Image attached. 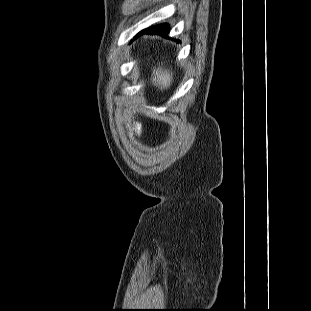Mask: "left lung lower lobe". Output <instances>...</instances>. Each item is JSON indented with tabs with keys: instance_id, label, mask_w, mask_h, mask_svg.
<instances>
[{
	"instance_id": "left-lung-lower-lobe-1",
	"label": "left lung lower lobe",
	"mask_w": 311,
	"mask_h": 311,
	"mask_svg": "<svg viewBox=\"0 0 311 311\" xmlns=\"http://www.w3.org/2000/svg\"><path fill=\"white\" fill-rule=\"evenodd\" d=\"M140 33L159 34L161 36L168 37L169 25L168 24H160L156 27H150V28L144 29L141 32H139L135 36V38H137L140 35Z\"/></svg>"
}]
</instances>
